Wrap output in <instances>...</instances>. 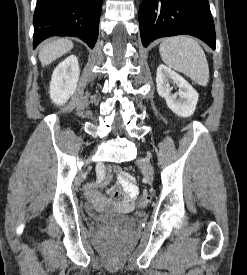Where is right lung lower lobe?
Masks as SVG:
<instances>
[{"instance_id": "obj_1", "label": "right lung lower lobe", "mask_w": 247, "mask_h": 275, "mask_svg": "<svg viewBox=\"0 0 247 275\" xmlns=\"http://www.w3.org/2000/svg\"><path fill=\"white\" fill-rule=\"evenodd\" d=\"M103 0H37L34 48L50 36L79 37L93 48Z\"/></svg>"}]
</instances>
